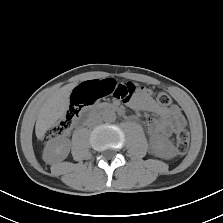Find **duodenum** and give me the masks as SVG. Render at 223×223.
<instances>
[{
    "instance_id": "obj_1",
    "label": "duodenum",
    "mask_w": 223,
    "mask_h": 223,
    "mask_svg": "<svg viewBox=\"0 0 223 223\" xmlns=\"http://www.w3.org/2000/svg\"><path fill=\"white\" fill-rule=\"evenodd\" d=\"M103 111H115V112H118L119 114H123V109L119 105H116V104H101L89 110L90 113H98V112H103ZM85 121H86V118H83L77 123V125L80 126Z\"/></svg>"
}]
</instances>
